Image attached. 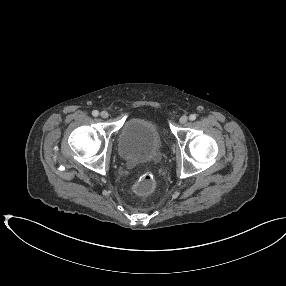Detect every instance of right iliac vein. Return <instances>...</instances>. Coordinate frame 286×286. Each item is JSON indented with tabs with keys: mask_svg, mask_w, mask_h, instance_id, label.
<instances>
[{
	"mask_svg": "<svg viewBox=\"0 0 286 286\" xmlns=\"http://www.w3.org/2000/svg\"><path fill=\"white\" fill-rule=\"evenodd\" d=\"M100 116L105 119V118H108L109 114H108L107 111H102V112L100 113Z\"/></svg>",
	"mask_w": 286,
	"mask_h": 286,
	"instance_id": "right-iliac-vein-1",
	"label": "right iliac vein"
}]
</instances>
